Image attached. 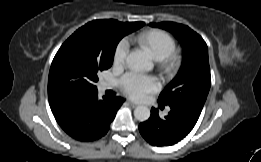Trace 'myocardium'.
<instances>
[{
  "label": "myocardium",
  "instance_id": "f54148a6",
  "mask_svg": "<svg viewBox=\"0 0 261 162\" xmlns=\"http://www.w3.org/2000/svg\"><path fill=\"white\" fill-rule=\"evenodd\" d=\"M179 64L178 58L174 53H171L162 60L161 66L166 71H174L177 69Z\"/></svg>",
  "mask_w": 261,
  "mask_h": 162
}]
</instances>
